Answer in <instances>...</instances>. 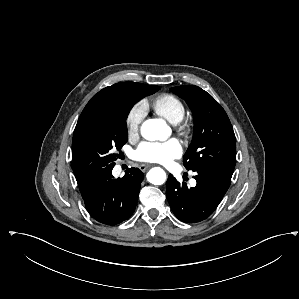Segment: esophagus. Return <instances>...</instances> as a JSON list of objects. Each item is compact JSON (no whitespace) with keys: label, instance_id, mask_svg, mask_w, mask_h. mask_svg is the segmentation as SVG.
I'll return each instance as SVG.
<instances>
[{"label":"esophagus","instance_id":"obj_1","mask_svg":"<svg viewBox=\"0 0 299 299\" xmlns=\"http://www.w3.org/2000/svg\"><path fill=\"white\" fill-rule=\"evenodd\" d=\"M150 167H151V165H149V164H140L139 165V169L143 172H145Z\"/></svg>","mask_w":299,"mask_h":299}]
</instances>
